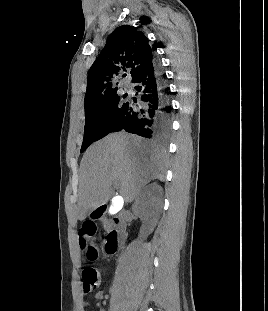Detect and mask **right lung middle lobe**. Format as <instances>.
Segmentation results:
<instances>
[{
    "mask_svg": "<svg viewBox=\"0 0 268 311\" xmlns=\"http://www.w3.org/2000/svg\"><path fill=\"white\" fill-rule=\"evenodd\" d=\"M123 98L115 92L85 111L86 118L81 152L111 132L126 105Z\"/></svg>",
    "mask_w": 268,
    "mask_h": 311,
    "instance_id": "1",
    "label": "right lung middle lobe"
}]
</instances>
